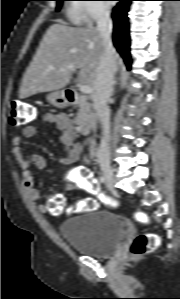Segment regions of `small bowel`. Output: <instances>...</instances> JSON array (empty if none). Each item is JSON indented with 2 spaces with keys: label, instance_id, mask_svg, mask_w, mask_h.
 Listing matches in <instances>:
<instances>
[{
  "label": "small bowel",
  "instance_id": "1",
  "mask_svg": "<svg viewBox=\"0 0 180 299\" xmlns=\"http://www.w3.org/2000/svg\"><path fill=\"white\" fill-rule=\"evenodd\" d=\"M44 122L47 124H55L61 131V143L65 148V155L59 159L60 167L65 168L76 163L82 154V146L75 140L76 130L74 121L64 113L50 112L45 114ZM41 127V125L26 126L22 130L21 135L13 138L12 143L14 147L12 152L22 171L23 187L29 199L37 205L40 212L45 213L47 212V206L38 204L41 194L35 187L31 166L34 165L39 169H44L47 167V161L44 157L38 154L27 157L21 148L23 140L34 137ZM86 172L85 166L76 167L74 171L66 177L64 190L72 191L80 187V176L82 173Z\"/></svg>",
  "mask_w": 180,
  "mask_h": 299
}]
</instances>
